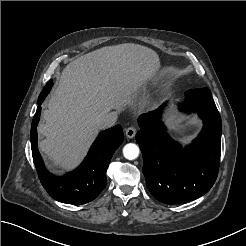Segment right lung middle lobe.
Masks as SVG:
<instances>
[{
	"label": "right lung middle lobe",
	"instance_id": "dd1d6c3e",
	"mask_svg": "<svg viewBox=\"0 0 246 246\" xmlns=\"http://www.w3.org/2000/svg\"><path fill=\"white\" fill-rule=\"evenodd\" d=\"M52 85H53L52 80L47 82L46 86L43 88L42 92L40 93V95L38 97V102L41 101L42 97L44 98L49 93Z\"/></svg>",
	"mask_w": 246,
	"mask_h": 246
}]
</instances>
